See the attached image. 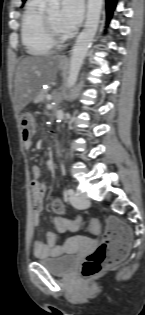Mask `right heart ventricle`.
<instances>
[{"instance_id": "obj_1", "label": "right heart ventricle", "mask_w": 145, "mask_h": 315, "mask_svg": "<svg viewBox=\"0 0 145 315\" xmlns=\"http://www.w3.org/2000/svg\"><path fill=\"white\" fill-rule=\"evenodd\" d=\"M41 3V0H29L21 20L22 43L31 55H46L54 48L44 29Z\"/></svg>"}]
</instances>
